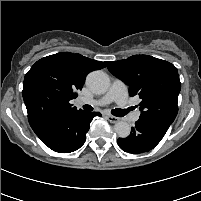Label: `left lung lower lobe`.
I'll return each mask as SVG.
<instances>
[{"instance_id": "left-lung-lower-lobe-1", "label": "left lung lower lobe", "mask_w": 201, "mask_h": 201, "mask_svg": "<svg viewBox=\"0 0 201 201\" xmlns=\"http://www.w3.org/2000/svg\"><path fill=\"white\" fill-rule=\"evenodd\" d=\"M170 125L160 119H139L127 138L118 139V145L129 153L148 152L161 141Z\"/></svg>"}]
</instances>
